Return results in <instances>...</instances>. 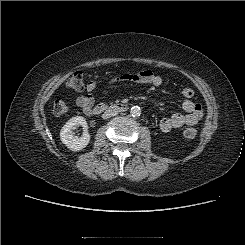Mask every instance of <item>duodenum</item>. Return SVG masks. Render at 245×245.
Listing matches in <instances>:
<instances>
[{"instance_id":"1","label":"duodenum","mask_w":245,"mask_h":245,"mask_svg":"<svg viewBox=\"0 0 245 245\" xmlns=\"http://www.w3.org/2000/svg\"><path fill=\"white\" fill-rule=\"evenodd\" d=\"M107 110H112L115 112L123 113L128 110V105L124 103H115L112 105H107V104H98L94 107H92L89 111V114L92 116L99 115Z\"/></svg>"}]
</instances>
